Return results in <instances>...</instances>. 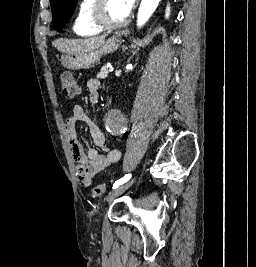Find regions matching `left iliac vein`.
<instances>
[{
  "instance_id": "1",
  "label": "left iliac vein",
  "mask_w": 256,
  "mask_h": 267,
  "mask_svg": "<svg viewBox=\"0 0 256 267\" xmlns=\"http://www.w3.org/2000/svg\"><path fill=\"white\" fill-rule=\"evenodd\" d=\"M134 182H135V180H132V181L126 183V184H123V185L117 187L115 190L110 192L105 198L106 202L113 201L116 197H118L123 192H125L129 187H131Z\"/></svg>"
}]
</instances>
